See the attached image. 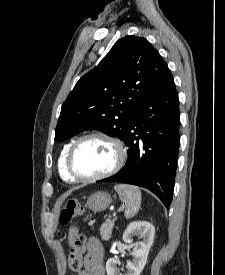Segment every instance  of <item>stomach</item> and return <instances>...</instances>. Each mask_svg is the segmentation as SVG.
<instances>
[{
    "instance_id": "0dacf381",
    "label": "stomach",
    "mask_w": 225,
    "mask_h": 275,
    "mask_svg": "<svg viewBox=\"0 0 225 275\" xmlns=\"http://www.w3.org/2000/svg\"><path fill=\"white\" fill-rule=\"evenodd\" d=\"M111 203V196L105 192H97L92 194L86 202L88 207L93 212H101L109 207Z\"/></svg>"
}]
</instances>
